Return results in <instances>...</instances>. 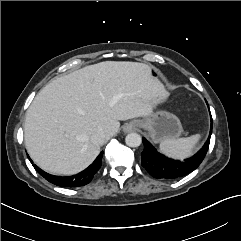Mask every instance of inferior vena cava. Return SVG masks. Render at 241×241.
Listing matches in <instances>:
<instances>
[{"mask_svg": "<svg viewBox=\"0 0 241 241\" xmlns=\"http://www.w3.org/2000/svg\"><path fill=\"white\" fill-rule=\"evenodd\" d=\"M90 140L95 145H102L106 140L105 133L103 131H97L91 135Z\"/></svg>", "mask_w": 241, "mask_h": 241, "instance_id": "obj_1", "label": "inferior vena cava"}]
</instances>
